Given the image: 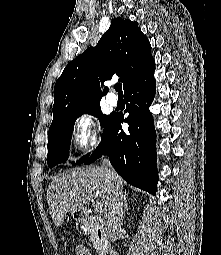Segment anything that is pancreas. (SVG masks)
<instances>
[{
    "mask_svg": "<svg viewBox=\"0 0 221 255\" xmlns=\"http://www.w3.org/2000/svg\"><path fill=\"white\" fill-rule=\"evenodd\" d=\"M85 227L90 235V240L93 242L95 248L101 252L102 246L100 241L97 239V231L103 226V221L97 216H90L88 221L85 222Z\"/></svg>",
    "mask_w": 221,
    "mask_h": 255,
    "instance_id": "1",
    "label": "pancreas"
}]
</instances>
